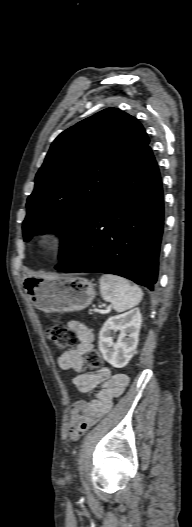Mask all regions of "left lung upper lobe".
I'll use <instances>...</instances> for the list:
<instances>
[{
    "instance_id": "left-lung-upper-lobe-1",
    "label": "left lung upper lobe",
    "mask_w": 192,
    "mask_h": 527,
    "mask_svg": "<svg viewBox=\"0 0 192 527\" xmlns=\"http://www.w3.org/2000/svg\"><path fill=\"white\" fill-rule=\"evenodd\" d=\"M133 116L107 108L62 132L52 143L27 200L24 240L61 235V260L123 171L148 146Z\"/></svg>"
}]
</instances>
